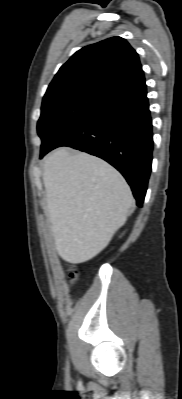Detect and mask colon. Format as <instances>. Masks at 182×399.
<instances>
[{
  "label": "colon",
  "instance_id": "5ec220e1",
  "mask_svg": "<svg viewBox=\"0 0 182 399\" xmlns=\"http://www.w3.org/2000/svg\"><path fill=\"white\" fill-rule=\"evenodd\" d=\"M80 280V274L77 269H73L71 273V281L77 283Z\"/></svg>",
  "mask_w": 182,
  "mask_h": 399
}]
</instances>
